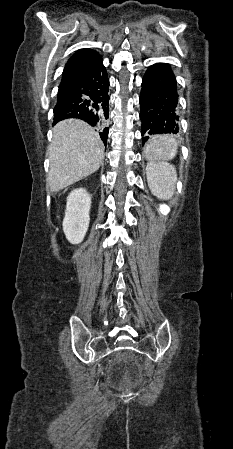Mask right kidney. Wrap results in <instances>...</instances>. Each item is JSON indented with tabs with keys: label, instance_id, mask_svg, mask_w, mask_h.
I'll use <instances>...</instances> for the list:
<instances>
[{
	"label": "right kidney",
	"instance_id": "right-kidney-1",
	"mask_svg": "<svg viewBox=\"0 0 233 449\" xmlns=\"http://www.w3.org/2000/svg\"><path fill=\"white\" fill-rule=\"evenodd\" d=\"M91 196L83 188L73 190L67 197L63 231L72 244L83 241L89 227Z\"/></svg>",
	"mask_w": 233,
	"mask_h": 449
}]
</instances>
